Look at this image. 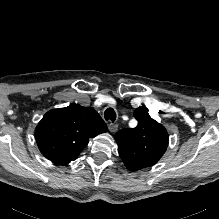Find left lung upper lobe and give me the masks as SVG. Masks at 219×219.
<instances>
[{"label": "left lung upper lobe", "instance_id": "obj_1", "mask_svg": "<svg viewBox=\"0 0 219 219\" xmlns=\"http://www.w3.org/2000/svg\"><path fill=\"white\" fill-rule=\"evenodd\" d=\"M139 107L134 111L138 121L135 128L116 133L119 155L130 171H138L155 165L163 156L169 142L166 129Z\"/></svg>", "mask_w": 219, "mask_h": 219}]
</instances>
